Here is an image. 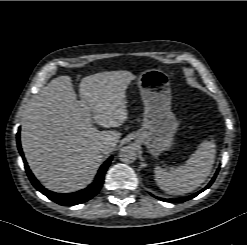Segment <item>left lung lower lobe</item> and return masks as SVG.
Listing matches in <instances>:
<instances>
[{
    "label": "left lung lower lobe",
    "instance_id": "0a47b994",
    "mask_svg": "<svg viewBox=\"0 0 247 245\" xmlns=\"http://www.w3.org/2000/svg\"><path fill=\"white\" fill-rule=\"evenodd\" d=\"M217 173H218V171L216 172L215 176H214L213 179L210 181V183H209L204 189H202L201 191H199V192H197V193H195V194H193V195H191V196H189V197L180 198V199H163V198H158V199H160V200H162V201H166V202H177V203H182V202H184V201H186V200H189V199H191V198L197 196V195H198L199 193H201L202 191H204V190H206L207 188H209L210 185L214 182Z\"/></svg>",
    "mask_w": 247,
    "mask_h": 245
}]
</instances>
